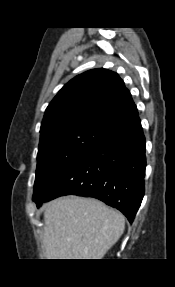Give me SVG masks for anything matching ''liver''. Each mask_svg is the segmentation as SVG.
Masks as SVG:
<instances>
[{"label":"liver","instance_id":"obj_1","mask_svg":"<svg viewBox=\"0 0 175 287\" xmlns=\"http://www.w3.org/2000/svg\"><path fill=\"white\" fill-rule=\"evenodd\" d=\"M46 259H102L125 229V217L102 202L69 196L44 207Z\"/></svg>","mask_w":175,"mask_h":287}]
</instances>
